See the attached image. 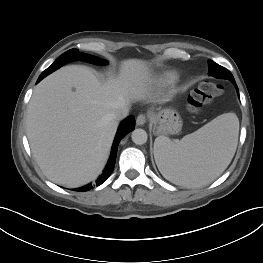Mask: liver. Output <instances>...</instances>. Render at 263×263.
Segmentation results:
<instances>
[{"label":"liver","mask_w":263,"mask_h":263,"mask_svg":"<svg viewBox=\"0 0 263 263\" xmlns=\"http://www.w3.org/2000/svg\"><path fill=\"white\" fill-rule=\"evenodd\" d=\"M145 61L128 59L102 83L86 66L60 68L35 88L26 115L31 151L44 175L70 188L102 172L118 128L112 112L148 95ZM74 89V90H73Z\"/></svg>","instance_id":"obj_1"}]
</instances>
